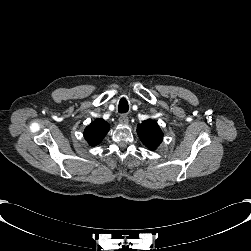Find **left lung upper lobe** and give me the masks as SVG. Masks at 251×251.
I'll use <instances>...</instances> for the list:
<instances>
[{"label": "left lung upper lobe", "mask_w": 251, "mask_h": 251, "mask_svg": "<svg viewBox=\"0 0 251 251\" xmlns=\"http://www.w3.org/2000/svg\"><path fill=\"white\" fill-rule=\"evenodd\" d=\"M137 133L142 143L150 150H155L163 140V133L158 124L151 120H145L137 127Z\"/></svg>", "instance_id": "1"}]
</instances>
